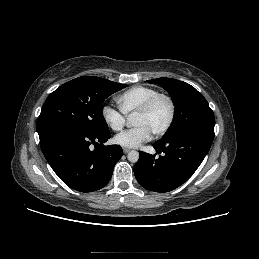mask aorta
<instances>
[{"label":"aorta","instance_id":"obj_1","mask_svg":"<svg viewBox=\"0 0 259 259\" xmlns=\"http://www.w3.org/2000/svg\"><path fill=\"white\" fill-rule=\"evenodd\" d=\"M131 122H132V120L131 119H129L128 120V124H131ZM128 160L130 161V162H133V163H136L137 161H138V159H139V153L137 152V151H135V150H132V151H130L129 153H128Z\"/></svg>","mask_w":259,"mask_h":259}]
</instances>
